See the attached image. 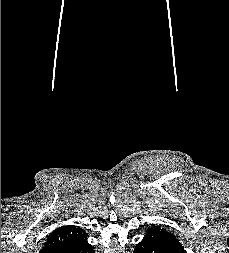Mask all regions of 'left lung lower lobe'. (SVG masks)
Segmentation results:
<instances>
[{
	"label": "left lung lower lobe",
	"mask_w": 229,
	"mask_h": 253,
	"mask_svg": "<svg viewBox=\"0 0 229 253\" xmlns=\"http://www.w3.org/2000/svg\"><path fill=\"white\" fill-rule=\"evenodd\" d=\"M133 253H186L180 242L143 239Z\"/></svg>",
	"instance_id": "left-lung-lower-lobe-1"
}]
</instances>
